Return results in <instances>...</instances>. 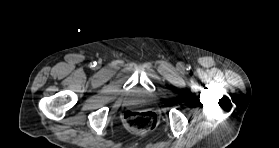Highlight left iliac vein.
<instances>
[{"instance_id": "1", "label": "left iliac vein", "mask_w": 279, "mask_h": 148, "mask_svg": "<svg viewBox=\"0 0 279 148\" xmlns=\"http://www.w3.org/2000/svg\"><path fill=\"white\" fill-rule=\"evenodd\" d=\"M178 66H179V68H182V67H183L182 64H179Z\"/></svg>"}]
</instances>
